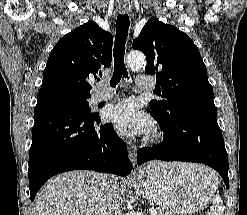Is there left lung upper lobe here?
<instances>
[{"label":"left lung upper lobe","instance_id":"left-lung-upper-lobe-1","mask_svg":"<svg viewBox=\"0 0 247 215\" xmlns=\"http://www.w3.org/2000/svg\"><path fill=\"white\" fill-rule=\"evenodd\" d=\"M132 47L146 55L145 73L156 74V94L163 100H152L150 108L159 118L170 122L182 114L217 115L206 66L184 32L149 19Z\"/></svg>","mask_w":247,"mask_h":215}]
</instances>
